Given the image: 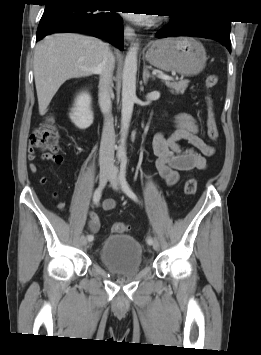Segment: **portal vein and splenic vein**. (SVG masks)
I'll use <instances>...</instances> for the list:
<instances>
[{
	"instance_id": "portal-vein-and-splenic-vein-1",
	"label": "portal vein and splenic vein",
	"mask_w": 261,
	"mask_h": 355,
	"mask_svg": "<svg viewBox=\"0 0 261 355\" xmlns=\"http://www.w3.org/2000/svg\"><path fill=\"white\" fill-rule=\"evenodd\" d=\"M154 74H156V73L154 72ZM158 77L163 80H173V77L168 76V75H164V74H158Z\"/></svg>"
}]
</instances>
